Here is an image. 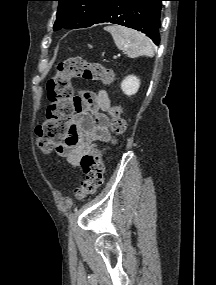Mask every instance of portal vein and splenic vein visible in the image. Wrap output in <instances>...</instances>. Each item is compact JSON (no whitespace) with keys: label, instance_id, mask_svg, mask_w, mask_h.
<instances>
[{"label":"portal vein and splenic vein","instance_id":"18ae733b","mask_svg":"<svg viewBox=\"0 0 216 285\" xmlns=\"http://www.w3.org/2000/svg\"><path fill=\"white\" fill-rule=\"evenodd\" d=\"M117 58V56H114V59H116Z\"/></svg>","mask_w":216,"mask_h":285}]
</instances>
